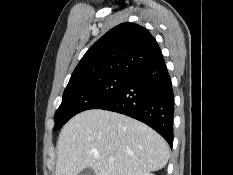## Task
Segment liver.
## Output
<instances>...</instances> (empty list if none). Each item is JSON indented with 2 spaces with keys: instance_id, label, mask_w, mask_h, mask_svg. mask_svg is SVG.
Segmentation results:
<instances>
[{
  "instance_id": "6515ba94",
  "label": "liver",
  "mask_w": 233,
  "mask_h": 175,
  "mask_svg": "<svg viewBox=\"0 0 233 175\" xmlns=\"http://www.w3.org/2000/svg\"><path fill=\"white\" fill-rule=\"evenodd\" d=\"M168 159L167 142L146 124L91 109L62 128L55 175H77L85 168L93 169L95 175H144L162 169Z\"/></svg>"
}]
</instances>
